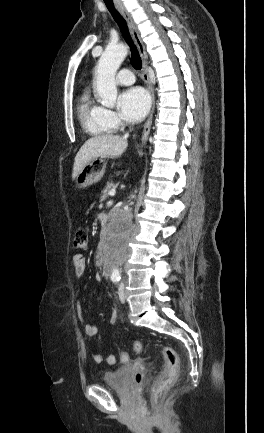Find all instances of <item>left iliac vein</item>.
Listing matches in <instances>:
<instances>
[{
	"mask_svg": "<svg viewBox=\"0 0 264 433\" xmlns=\"http://www.w3.org/2000/svg\"><path fill=\"white\" fill-rule=\"evenodd\" d=\"M118 294H119L120 301L122 303H124L126 297H125V294H124V284L123 283H120Z\"/></svg>",
	"mask_w": 264,
	"mask_h": 433,
	"instance_id": "4c4485c4",
	"label": "left iliac vein"
}]
</instances>
